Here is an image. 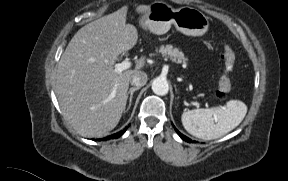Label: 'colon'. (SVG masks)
Masks as SVG:
<instances>
[{"mask_svg": "<svg viewBox=\"0 0 288 181\" xmlns=\"http://www.w3.org/2000/svg\"><path fill=\"white\" fill-rule=\"evenodd\" d=\"M222 58L224 61V67L223 71L218 77L219 88L216 93L217 96L220 98L225 97L231 91L232 82L230 79V74L234 70L236 60L235 53L229 47H226L224 49Z\"/></svg>", "mask_w": 288, "mask_h": 181, "instance_id": "obj_1", "label": "colon"}]
</instances>
